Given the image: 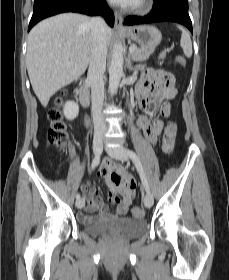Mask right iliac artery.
<instances>
[{"instance_id": "1", "label": "right iliac artery", "mask_w": 229, "mask_h": 280, "mask_svg": "<svg viewBox=\"0 0 229 280\" xmlns=\"http://www.w3.org/2000/svg\"><path fill=\"white\" fill-rule=\"evenodd\" d=\"M100 163V156H96L93 161H92V164H91V169H95ZM80 199V194L77 193L76 194V200H79Z\"/></svg>"}]
</instances>
